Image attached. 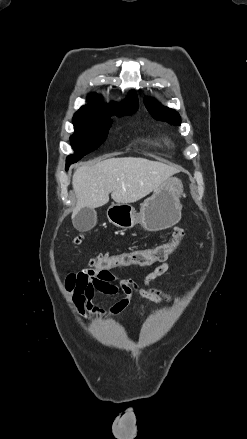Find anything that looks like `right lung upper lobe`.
Returning a JSON list of instances; mask_svg holds the SVG:
<instances>
[{
  "instance_id": "obj_1",
  "label": "right lung upper lobe",
  "mask_w": 247,
  "mask_h": 439,
  "mask_svg": "<svg viewBox=\"0 0 247 439\" xmlns=\"http://www.w3.org/2000/svg\"><path fill=\"white\" fill-rule=\"evenodd\" d=\"M89 104L82 106L75 115L89 116H112L113 114H121L125 111L138 108V101L135 91H132L129 97L122 103L103 104L101 98L92 93L89 95Z\"/></svg>"
}]
</instances>
